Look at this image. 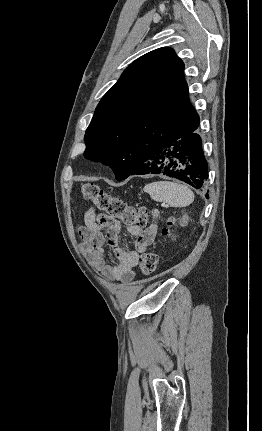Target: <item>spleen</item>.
I'll return each instance as SVG.
<instances>
[{
	"mask_svg": "<svg viewBox=\"0 0 262 431\" xmlns=\"http://www.w3.org/2000/svg\"><path fill=\"white\" fill-rule=\"evenodd\" d=\"M150 197L157 202H165L173 207H186L194 201L191 189L180 183L170 181L152 182L144 187Z\"/></svg>",
	"mask_w": 262,
	"mask_h": 431,
	"instance_id": "3e777b00",
	"label": "spleen"
}]
</instances>
